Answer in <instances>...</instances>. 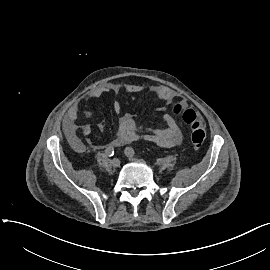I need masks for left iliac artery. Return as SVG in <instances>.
I'll use <instances>...</instances> for the list:
<instances>
[{
  "label": "left iliac artery",
  "mask_w": 270,
  "mask_h": 270,
  "mask_svg": "<svg viewBox=\"0 0 270 270\" xmlns=\"http://www.w3.org/2000/svg\"><path fill=\"white\" fill-rule=\"evenodd\" d=\"M125 153H128V154H130L132 156L135 155V151H134V149L132 147H126Z\"/></svg>",
  "instance_id": "left-iliac-artery-1"
}]
</instances>
